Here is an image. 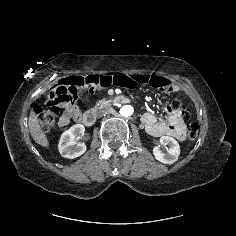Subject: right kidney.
Masks as SVG:
<instances>
[{
  "instance_id": "right-kidney-1",
  "label": "right kidney",
  "mask_w": 236,
  "mask_h": 236,
  "mask_svg": "<svg viewBox=\"0 0 236 236\" xmlns=\"http://www.w3.org/2000/svg\"><path fill=\"white\" fill-rule=\"evenodd\" d=\"M85 127L82 124H76L62 133L58 149L60 154L65 158H76L86 151L85 143H76L75 138L84 134Z\"/></svg>"
}]
</instances>
